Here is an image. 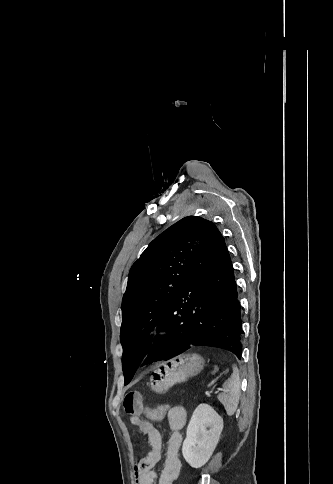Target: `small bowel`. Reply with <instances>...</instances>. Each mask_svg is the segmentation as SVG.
Wrapping results in <instances>:
<instances>
[{"instance_id": "small-bowel-1", "label": "small bowel", "mask_w": 333, "mask_h": 484, "mask_svg": "<svg viewBox=\"0 0 333 484\" xmlns=\"http://www.w3.org/2000/svg\"><path fill=\"white\" fill-rule=\"evenodd\" d=\"M123 408L126 414L130 416L132 423L147 436L151 447L146 457L142 458L136 465L137 483L173 484L181 469L179 451L183 437L180 431L186 424V410L181 406H174L164 415L167 417L171 433L167 441V452L163 469L160 474H157L155 468L161 460L162 436L149 420L143 419V417H148L147 407L144 405L141 394L136 391L127 393L123 400Z\"/></svg>"}]
</instances>
